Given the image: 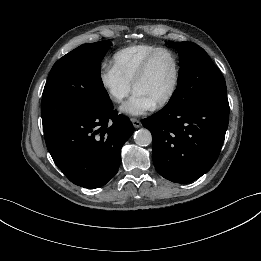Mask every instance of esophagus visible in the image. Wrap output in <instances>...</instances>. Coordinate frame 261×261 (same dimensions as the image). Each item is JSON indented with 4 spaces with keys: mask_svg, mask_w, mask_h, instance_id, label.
Masks as SVG:
<instances>
[{
    "mask_svg": "<svg viewBox=\"0 0 261 261\" xmlns=\"http://www.w3.org/2000/svg\"><path fill=\"white\" fill-rule=\"evenodd\" d=\"M131 122H132V124H133V126L135 127V128H139V127H141V121L140 120H138V119H135V118H132L131 119Z\"/></svg>",
    "mask_w": 261,
    "mask_h": 261,
    "instance_id": "34e87169",
    "label": "esophagus"
}]
</instances>
